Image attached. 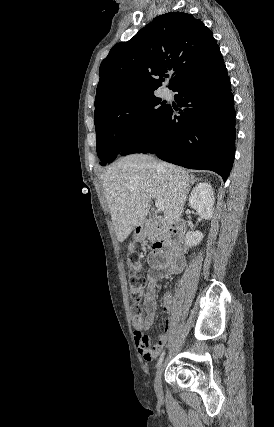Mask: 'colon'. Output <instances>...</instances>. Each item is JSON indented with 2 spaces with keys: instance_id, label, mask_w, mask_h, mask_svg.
Here are the masks:
<instances>
[{
  "instance_id": "obj_1",
  "label": "colon",
  "mask_w": 274,
  "mask_h": 427,
  "mask_svg": "<svg viewBox=\"0 0 274 427\" xmlns=\"http://www.w3.org/2000/svg\"><path fill=\"white\" fill-rule=\"evenodd\" d=\"M139 261L140 257L137 253L130 254L129 268L131 275L129 276L128 285L131 296L136 301L131 305V315L135 322H143L141 308L138 301L141 300L140 290L145 285V279L143 278L142 274L136 269V264Z\"/></svg>"
}]
</instances>
